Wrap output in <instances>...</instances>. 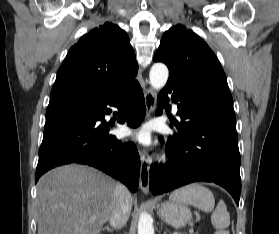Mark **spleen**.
<instances>
[{
    "label": "spleen",
    "mask_w": 279,
    "mask_h": 234,
    "mask_svg": "<svg viewBox=\"0 0 279 234\" xmlns=\"http://www.w3.org/2000/svg\"><path fill=\"white\" fill-rule=\"evenodd\" d=\"M169 199L193 205L204 212H212L211 223L216 229L215 234H229L226 230L230 225V214L223 200L215 207L213 193L200 184L193 183L174 191Z\"/></svg>",
    "instance_id": "1"
}]
</instances>
